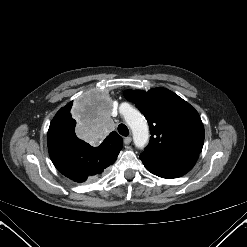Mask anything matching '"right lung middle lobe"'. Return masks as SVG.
Masks as SVG:
<instances>
[{
	"mask_svg": "<svg viewBox=\"0 0 247 247\" xmlns=\"http://www.w3.org/2000/svg\"><path fill=\"white\" fill-rule=\"evenodd\" d=\"M71 109L72 106L65 115L60 116V118L57 120V127H63L75 131L76 121L72 118L70 113ZM72 113L74 114L73 110ZM74 116L76 115L74 114Z\"/></svg>",
	"mask_w": 247,
	"mask_h": 247,
	"instance_id": "obj_1",
	"label": "right lung middle lobe"
}]
</instances>
